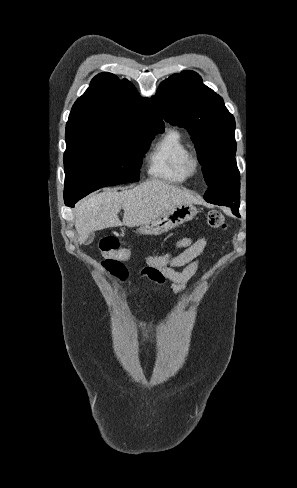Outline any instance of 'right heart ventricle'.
<instances>
[{
    "mask_svg": "<svg viewBox=\"0 0 297 488\" xmlns=\"http://www.w3.org/2000/svg\"><path fill=\"white\" fill-rule=\"evenodd\" d=\"M191 150L182 133L170 128L152 145L147 155V173L152 178L182 183L190 176L185 159Z\"/></svg>",
    "mask_w": 297,
    "mask_h": 488,
    "instance_id": "e07e8e85",
    "label": "right heart ventricle"
}]
</instances>
